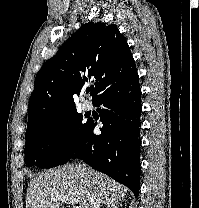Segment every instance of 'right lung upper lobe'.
Here are the masks:
<instances>
[{
  "label": "right lung upper lobe",
  "mask_w": 199,
  "mask_h": 208,
  "mask_svg": "<svg viewBox=\"0 0 199 208\" xmlns=\"http://www.w3.org/2000/svg\"><path fill=\"white\" fill-rule=\"evenodd\" d=\"M136 74L130 48L115 25L84 24L37 73L26 133L75 111L74 97L91 81L94 102Z\"/></svg>",
  "instance_id": "right-lung-upper-lobe-1"
}]
</instances>
